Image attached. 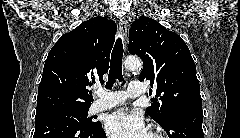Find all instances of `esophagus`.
<instances>
[{
    "label": "esophagus",
    "instance_id": "34e87169",
    "mask_svg": "<svg viewBox=\"0 0 240 138\" xmlns=\"http://www.w3.org/2000/svg\"><path fill=\"white\" fill-rule=\"evenodd\" d=\"M119 31L125 48L127 43V21L124 18H121L119 21Z\"/></svg>",
    "mask_w": 240,
    "mask_h": 138
}]
</instances>
